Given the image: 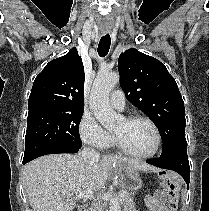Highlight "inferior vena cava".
I'll use <instances>...</instances> for the list:
<instances>
[{
    "label": "inferior vena cava",
    "mask_w": 209,
    "mask_h": 211,
    "mask_svg": "<svg viewBox=\"0 0 209 211\" xmlns=\"http://www.w3.org/2000/svg\"><path fill=\"white\" fill-rule=\"evenodd\" d=\"M81 158L86 163H94L96 160L99 159V154L96 150L90 147H84L81 152ZM98 203L94 204L93 211H102L100 208L96 207Z\"/></svg>",
    "instance_id": "inferior-vena-cava-1"
}]
</instances>
